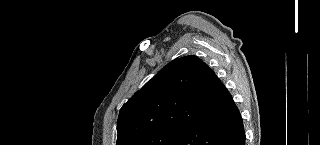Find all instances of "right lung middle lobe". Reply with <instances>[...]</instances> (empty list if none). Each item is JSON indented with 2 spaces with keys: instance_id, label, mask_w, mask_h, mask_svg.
Wrapping results in <instances>:
<instances>
[{
  "instance_id": "right-lung-middle-lobe-1",
  "label": "right lung middle lobe",
  "mask_w": 320,
  "mask_h": 145,
  "mask_svg": "<svg viewBox=\"0 0 320 145\" xmlns=\"http://www.w3.org/2000/svg\"><path fill=\"white\" fill-rule=\"evenodd\" d=\"M183 128L165 129L152 132L138 140L132 145H169L181 132Z\"/></svg>"
}]
</instances>
